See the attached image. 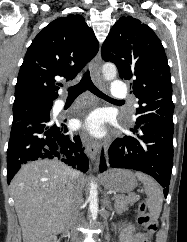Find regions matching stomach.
I'll return each instance as SVG.
<instances>
[{"mask_svg":"<svg viewBox=\"0 0 187 242\" xmlns=\"http://www.w3.org/2000/svg\"><path fill=\"white\" fill-rule=\"evenodd\" d=\"M103 186L118 193H129L137 186L136 176L129 170H110L102 177Z\"/></svg>","mask_w":187,"mask_h":242,"instance_id":"obj_1","label":"stomach"}]
</instances>
